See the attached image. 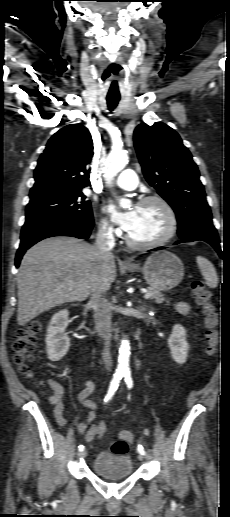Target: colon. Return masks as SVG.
<instances>
[{"label":"colon","mask_w":230,"mask_h":517,"mask_svg":"<svg viewBox=\"0 0 230 517\" xmlns=\"http://www.w3.org/2000/svg\"><path fill=\"white\" fill-rule=\"evenodd\" d=\"M191 288L197 304L202 308L205 335L207 340V354L209 356H214L218 345L219 324V317L216 306L212 302L209 290L202 281L194 280L192 282ZM41 330V322L34 321L29 326L18 329L16 332V338L13 343V360L19 371L28 377L31 376V368L29 363L32 358L35 346L38 342ZM51 387L55 391L54 397H52V401H55L58 393L57 386L55 383H51ZM129 437L130 435H127L126 437H120L118 440H116L112 444V452L117 455L126 454L129 450V442H131Z\"/></svg>","instance_id":"5ec220e1"}]
</instances>
